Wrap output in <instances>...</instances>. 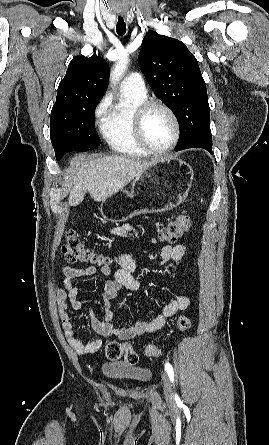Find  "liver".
<instances>
[{"label": "liver", "mask_w": 269, "mask_h": 445, "mask_svg": "<svg viewBox=\"0 0 269 445\" xmlns=\"http://www.w3.org/2000/svg\"><path fill=\"white\" fill-rule=\"evenodd\" d=\"M77 160L78 163L70 169L74 185L68 198L70 206L79 205L87 192L96 202L106 200L156 161L119 155L103 158L79 156Z\"/></svg>", "instance_id": "obj_1"}]
</instances>
